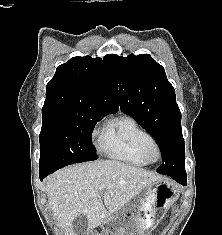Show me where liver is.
<instances>
[{
	"mask_svg": "<svg viewBox=\"0 0 222 235\" xmlns=\"http://www.w3.org/2000/svg\"><path fill=\"white\" fill-rule=\"evenodd\" d=\"M162 180L143 168L102 160L57 171L47 179L46 192L64 235H77L73 222L78 216L86 218L84 233H89L144 188ZM102 184L106 186L101 188Z\"/></svg>",
	"mask_w": 222,
	"mask_h": 235,
	"instance_id": "6515ba94",
	"label": "liver"
}]
</instances>
